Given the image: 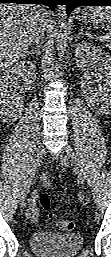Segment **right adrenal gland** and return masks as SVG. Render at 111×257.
I'll return each instance as SVG.
<instances>
[{
  "instance_id": "right-adrenal-gland-1",
  "label": "right adrenal gland",
  "mask_w": 111,
  "mask_h": 257,
  "mask_svg": "<svg viewBox=\"0 0 111 257\" xmlns=\"http://www.w3.org/2000/svg\"><path fill=\"white\" fill-rule=\"evenodd\" d=\"M39 53V46L36 45V47H34L31 51H28L25 54V57L29 56L30 54H38Z\"/></svg>"
}]
</instances>
